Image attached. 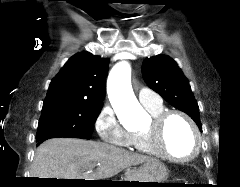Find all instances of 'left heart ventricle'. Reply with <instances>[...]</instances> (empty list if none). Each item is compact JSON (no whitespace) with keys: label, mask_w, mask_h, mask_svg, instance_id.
<instances>
[{"label":"left heart ventricle","mask_w":240,"mask_h":187,"mask_svg":"<svg viewBox=\"0 0 240 187\" xmlns=\"http://www.w3.org/2000/svg\"><path fill=\"white\" fill-rule=\"evenodd\" d=\"M194 135L187 122L180 116H171L163 130V148L179 158L189 156L194 149Z\"/></svg>","instance_id":"left-heart-ventricle-1"}]
</instances>
